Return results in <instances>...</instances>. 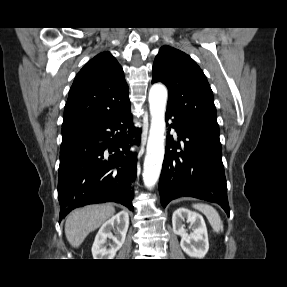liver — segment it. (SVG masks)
Here are the masks:
<instances>
[{"mask_svg":"<svg viewBox=\"0 0 287 287\" xmlns=\"http://www.w3.org/2000/svg\"><path fill=\"white\" fill-rule=\"evenodd\" d=\"M115 213L111 204L89 205L74 210L66 219L65 235L74 248L79 247L87 235L99 228Z\"/></svg>","mask_w":287,"mask_h":287,"instance_id":"obj_1","label":"liver"}]
</instances>
